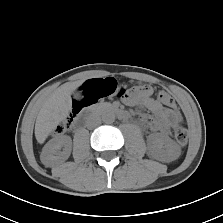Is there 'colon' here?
Instances as JSON below:
<instances>
[{"label": "colon", "mask_w": 223, "mask_h": 223, "mask_svg": "<svg viewBox=\"0 0 223 223\" xmlns=\"http://www.w3.org/2000/svg\"><path fill=\"white\" fill-rule=\"evenodd\" d=\"M116 94L120 98H125L128 95V91L124 87H117L114 79L106 78L105 80H88L78 90L77 97L74 100V106L69 116L58 126L57 132L63 133L68 130L78 113L86 106L96 103L101 98L109 95ZM158 101L166 106H173L174 100L172 97L161 92L158 95ZM174 136L177 142L184 147L187 144V131L181 125L174 127Z\"/></svg>", "instance_id": "1"}]
</instances>
